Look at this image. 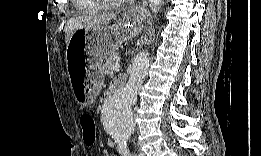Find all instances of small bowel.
<instances>
[{"mask_svg":"<svg viewBox=\"0 0 261 156\" xmlns=\"http://www.w3.org/2000/svg\"><path fill=\"white\" fill-rule=\"evenodd\" d=\"M123 79H117L116 81H114V85L118 84V83H122L123 84Z\"/></svg>","mask_w":261,"mask_h":156,"instance_id":"1","label":"small bowel"}]
</instances>
